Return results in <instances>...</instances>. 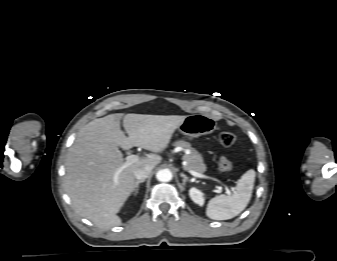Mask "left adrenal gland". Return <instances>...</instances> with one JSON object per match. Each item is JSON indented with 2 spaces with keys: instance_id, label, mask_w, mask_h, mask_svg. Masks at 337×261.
Listing matches in <instances>:
<instances>
[{
  "instance_id": "left-adrenal-gland-1",
  "label": "left adrenal gland",
  "mask_w": 337,
  "mask_h": 261,
  "mask_svg": "<svg viewBox=\"0 0 337 261\" xmlns=\"http://www.w3.org/2000/svg\"><path fill=\"white\" fill-rule=\"evenodd\" d=\"M180 175H181V177L183 178V183H182L183 186L186 185V182H187V181L191 182V180H190L184 173H181Z\"/></svg>"
}]
</instances>
